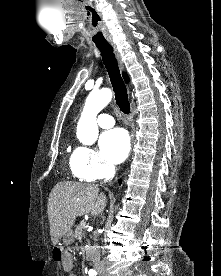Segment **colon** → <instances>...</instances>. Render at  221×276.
<instances>
[{"label":"colon","mask_w":221,"mask_h":276,"mask_svg":"<svg viewBox=\"0 0 221 276\" xmlns=\"http://www.w3.org/2000/svg\"><path fill=\"white\" fill-rule=\"evenodd\" d=\"M66 246H53V258L55 261H62L64 259V252Z\"/></svg>","instance_id":"1"}]
</instances>
